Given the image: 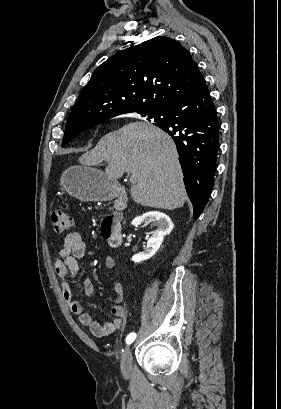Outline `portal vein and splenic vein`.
<instances>
[{
  "label": "portal vein and splenic vein",
  "instance_id": "obj_1",
  "mask_svg": "<svg viewBox=\"0 0 281 409\" xmlns=\"http://www.w3.org/2000/svg\"><path fill=\"white\" fill-rule=\"evenodd\" d=\"M127 183H128L129 185H134V184L136 183V178H135L134 176H129V177L127 178Z\"/></svg>",
  "mask_w": 281,
  "mask_h": 409
}]
</instances>
